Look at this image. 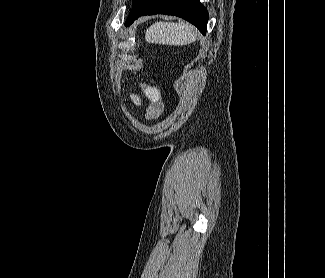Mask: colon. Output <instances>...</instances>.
<instances>
[{"instance_id":"colon-1","label":"colon","mask_w":325,"mask_h":278,"mask_svg":"<svg viewBox=\"0 0 325 278\" xmlns=\"http://www.w3.org/2000/svg\"><path fill=\"white\" fill-rule=\"evenodd\" d=\"M144 92L146 96L151 99L153 102H155L157 105H160V93L157 87L150 85V84H144Z\"/></svg>"}]
</instances>
